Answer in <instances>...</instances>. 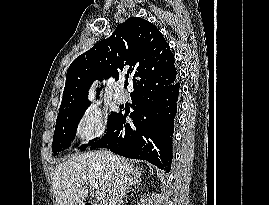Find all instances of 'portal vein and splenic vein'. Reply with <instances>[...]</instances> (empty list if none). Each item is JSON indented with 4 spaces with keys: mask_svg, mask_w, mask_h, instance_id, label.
<instances>
[{
    "mask_svg": "<svg viewBox=\"0 0 269 205\" xmlns=\"http://www.w3.org/2000/svg\"><path fill=\"white\" fill-rule=\"evenodd\" d=\"M88 183H89L93 188L98 189V190L96 191V194H95V199H96V200H102L103 197L105 196V194H104V192H103L101 189H99L97 182H96L95 180H89Z\"/></svg>",
    "mask_w": 269,
    "mask_h": 205,
    "instance_id": "18ae733b",
    "label": "portal vein and splenic vein"
}]
</instances>
